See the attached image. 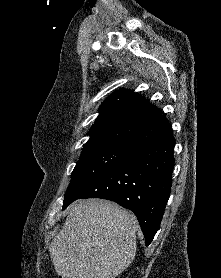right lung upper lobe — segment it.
Here are the masks:
<instances>
[{
  "label": "right lung upper lobe",
  "mask_w": 221,
  "mask_h": 278,
  "mask_svg": "<svg viewBox=\"0 0 221 278\" xmlns=\"http://www.w3.org/2000/svg\"><path fill=\"white\" fill-rule=\"evenodd\" d=\"M89 134L87 143L114 140L136 146L167 138L172 130L168 120L143 96L120 89L102 103Z\"/></svg>",
  "instance_id": "cb5924a9"
}]
</instances>
